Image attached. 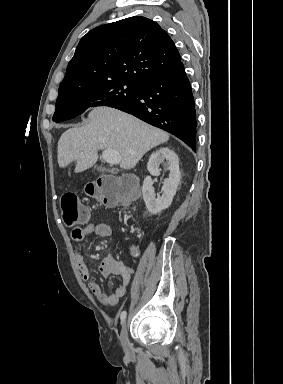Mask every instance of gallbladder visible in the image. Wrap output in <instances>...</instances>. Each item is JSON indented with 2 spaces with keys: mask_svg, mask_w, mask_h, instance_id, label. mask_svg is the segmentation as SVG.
Segmentation results:
<instances>
[{
  "mask_svg": "<svg viewBox=\"0 0 283 384\" xmlns=\"http://www.w3.org/2000/svg\"><path fill=\"white\" fill-rule=\"evenodd\" d=\"M98 170L101 169L102 172H109L110 171V166L109 165H102L101 168L98 167Z\"/></svg>",
  "mask_w": 283,
  "mask_h": 384,
  "instance_id": "bac80fb5",
  "label": "gallbladder"
}]
</instances>
